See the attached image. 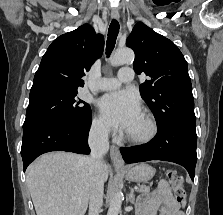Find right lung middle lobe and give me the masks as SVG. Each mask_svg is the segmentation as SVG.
<instances>
[{"label": "right lung middle lobe", "mask_w": 223, "mask_h": 215, "mask_svg": "<svg viewBox=\"0 0 223 215\" xmlns=\"http://www.w3.org/2000/svg\"><path fill=\"white\" fill-rule=\"evenodd\" d=\"M77 91L45 90L30 93L23 128L45 122L89 125L91 108L76 98Z\"/></svg>", "instance_id": "right-lung-middle-lobe-1"}]
</instances>
